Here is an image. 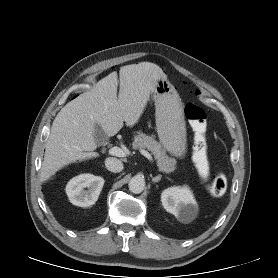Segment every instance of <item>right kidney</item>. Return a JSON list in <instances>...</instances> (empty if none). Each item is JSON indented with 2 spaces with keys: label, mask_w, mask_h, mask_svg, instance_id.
Listing matches in <instances>:
<instances>
[{
  "label": "right kidney",
  "mask_w": 278,
  "mask_h": 278,
  "mask_svg": "<svg viewBox=\"0 0 278 278\" xmlns=\"http://www.w3.org/2000/svg\"><path fill=\"white\" fill-rule=\"evenodd\" d=\"M104 182V179L100 176L81 174L68 182L66 193L73 205L88 207L95 204L98 200Z\"/></svg>",
  "instance_id": "1"
}]
</instances>
